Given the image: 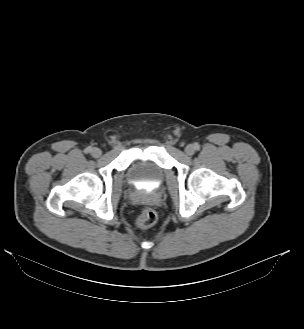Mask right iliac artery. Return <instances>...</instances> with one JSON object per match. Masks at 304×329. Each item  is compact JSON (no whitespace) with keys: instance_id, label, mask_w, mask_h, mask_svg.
<instances>
[{"instance_id":"right-iliac-artery-1","label":"right iliac artery","mask_w":304,"mask_h":329,"mask_svg":"<svg viewBox=\"0 0 304 329\" xmlns=\"http://www.w3.org/2000/svg\"><path fill=\"white\" fill-rule=\"evenodd\" d=\"M91 150H92V148H91V147H87V148L85 149V153H90V152H91Z\"/></svg>"}]
</instances>
